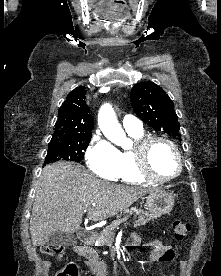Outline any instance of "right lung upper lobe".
Masks as SVG:
<instances>
[{"label":"right lung upper lobe","mask_w":221,"mask_h":276,"mask_svg":"<svg viewBox=\"0 0 221 276\" xmlns=\"http://www.w3.org/2000/svg\"><path fill=\"white\" fill-rule=\"evenodd\" d=\"M86 89L79 86L71 91L58 110V120L52 139H72L92 136L93 118L86 102Z\"/></svg>","instance_id":"obj_1"}]
</instances>
